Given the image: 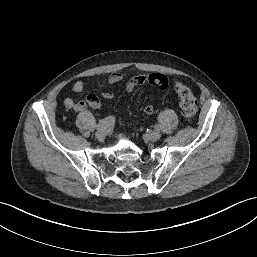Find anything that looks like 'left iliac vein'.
Returning a JSON list of instances; mask_svg holds the SVG:
<instances>
[{
    "instance_id": "1",
    "label": "left iliac vein",
    "mask_w": 257,
    "mask_h": 257,
    "mask_svg": "<svg viewBox=\"0 0 257 257\" xmlns=\"http://www.w3.org/2000/svg\"><path fill=\"white\" fill-rule=\"evenodd\" d=\"M147 137L151 141H156V140L160 139L161 133H160V131H157V130L151 131V132L147 133Z\"/></svg>"
}]
</instances>
